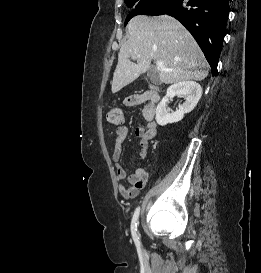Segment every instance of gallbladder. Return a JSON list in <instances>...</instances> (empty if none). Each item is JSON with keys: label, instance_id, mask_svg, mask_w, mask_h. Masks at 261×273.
Masks as SVG:
<instances>
[{"label": "gallbladder", "instance_id": "gallbladder-1", "mask_svg": "<svg viewBox=\"0 0 261 273\" xmlns=\"http://www.w3.org/2000/svg\"><path fill=\"white\" fill-rule=\"evenodd\" d=\"M147 77L152 83H159L158 72L155 68L151 67L147 72Z\"/></svg>", "mask_w": 261, "mask_h": 273}]
</instances>
